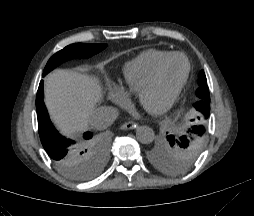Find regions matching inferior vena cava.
I'll list each match as a JSON object with an SVG mask.
<instances>
[{"mask_svg": "<svg viewBox=\"0 0 254 216\" xmlns=\"http://www.w3.org/2000/svg\"><path fill=\"white\" fill-rule=\"evenodd\" d=\"M118 110L111 106L96 108L89 117V125L96 130H104L118 117Z\"/></svg>", "mask_w": 254, "mask_h": 216, "instance_id": "inferior-vena-cava-1", "label": "inferior vena cava"}]
</instances>
